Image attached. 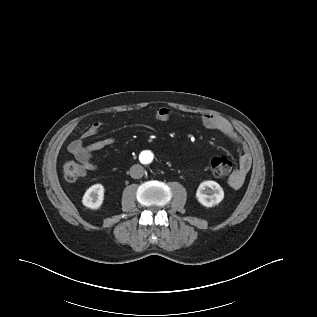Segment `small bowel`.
<instances>
[{
	"label": "small bowel",
	"mask_w": 317,
	"mask_h": 317,
	"mask_svg": "<svg viewBox=\"0 0 317 317\" xmlns=\"http://www.w3.org/2000/svg\"><path fill=\"white\" fill-rule=\"evenodd\" d=\"M172 115V110L167 107H159L154 112L155 119L159 121H167L172 117ZM200 120L204 127L222 133L235 143L240 142L238 134L229 121L224 117L214 113H205L201 116ZM101 129L102 123L94 122L81 134L79 139L72 141L68 146L69 152L80 163H82V165L85 166L87 170L94 171L96 169V165L92 160L94 152L112 146L115 143V139L113 137H107L89 144L84 143V140L97 135ZM251 163V156L247 152H243L239 159L238 168L228 179V184L232 188L237 189L243 185L245 177L250 170Z\"/></svg>",
	"instance_id": "obj_1"
}]
</instances>
